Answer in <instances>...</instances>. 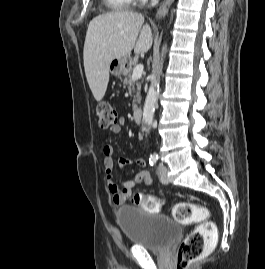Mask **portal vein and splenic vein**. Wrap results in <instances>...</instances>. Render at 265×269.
Returning a JSON list of instances; mask_svg holds the SVG:
<instances>
[{"instance_id": "portal-vein-and-splenic-vein-1", "label": "portal vein and splenic vein", "mask_w": 265, "mask_h": 269, "mask_svg": "<svg viewBox=\"0 0 265 269\" xmlns=\"http://www.w3.org/2000/svg\"><path fill=\"white\" fill-rule=\"evenodd\" d=\"M143 70L144 66L142 64L136 65L133 70L132 79L137 80L138 78H140L143 73Z\"/></svg>"}]
</instances>
